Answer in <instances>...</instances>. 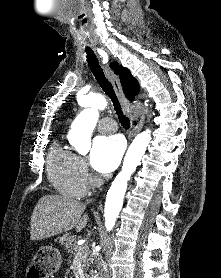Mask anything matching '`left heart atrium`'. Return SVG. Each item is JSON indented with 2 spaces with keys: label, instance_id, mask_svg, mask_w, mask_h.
<instances>
[{
  "label": "left heart atrium",
  "instance_id": "left-heart-atrium-1",
  "mask_svg": "<svg viewBox=\"0 0 221 278\" xmlns=\"http://www.w3.org/2000/svg\"><path fill=\"white\" fill-rule=\"evenodd\" d=\"M124 143L119 136L97 137L90 153L91 166L101 174L112 172L119 164Z\"/></svg>",
  "mask_w": 221,
  "mask_h": 278
}]
</instances>
